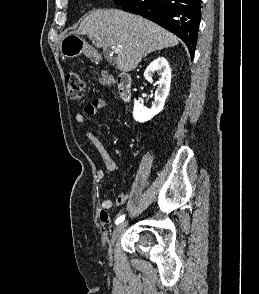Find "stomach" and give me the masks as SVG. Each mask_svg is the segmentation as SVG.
<instances>
[{
    "mask_svg": "<svg viewBox=\"0 0 259 294\" xmlns=\"http://www.w3.org/2000/svg\"><path fill=\"white\" fill-rule=\"evenodd\" d=\"M59 50L61 55L68 58L77 57L82 53L88 57H96L93 49L76 32H69L64 35Z\"/></svg>",
    "mask_w": 259,
    "mask_h": 294,
    "instance_id": "obj_1",
    "label": "stomach"
}]
</instances>
